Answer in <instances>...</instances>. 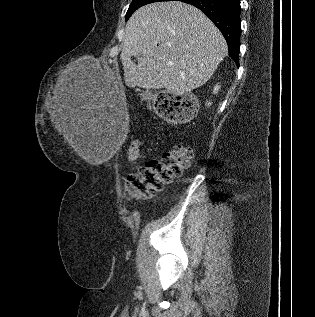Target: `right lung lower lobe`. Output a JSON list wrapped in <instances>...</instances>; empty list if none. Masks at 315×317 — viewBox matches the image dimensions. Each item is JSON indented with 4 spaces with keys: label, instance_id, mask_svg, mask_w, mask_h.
<instances>
[{
    "label": "right lung lower lobe",
    "instance_id": "1",
    "mask_svg": "<svg viewBox=\"0 0 315 317\" xmlns=\"http://www.w3.org/2000/svg\"><path fill=\"white\" fill-rule=\"evenodd\" d=\"M199 8L222 32L229 56L239 66L240 50V0H177Z\"/></svg>",
    "mask_w": 315,
    "mask_h": 317
}]
</instances>
